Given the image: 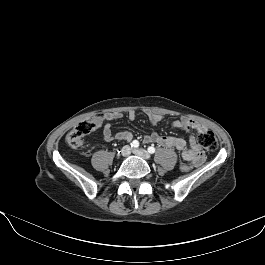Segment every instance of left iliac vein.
Instances as JSON below:
<instances>
[{
  "label": "left iliac vein",
  "instance_id": "4c4485c4",
  "mask_svg": "<svg viewBox=\"0 0 265 265\" xmlns=\"http://www.w3.org/2000/svg\"><path fill=\"white\" fill-rule=\"evenodd\" d=\"M133 153L145 160H149L151 158L150 154L144 149H135Z\"/></svg>",
  "mask_w": 265,
  "mask_h": 265
}]
</instances>
